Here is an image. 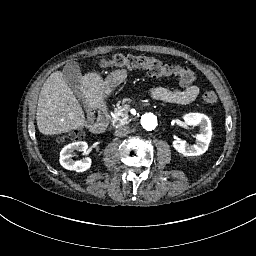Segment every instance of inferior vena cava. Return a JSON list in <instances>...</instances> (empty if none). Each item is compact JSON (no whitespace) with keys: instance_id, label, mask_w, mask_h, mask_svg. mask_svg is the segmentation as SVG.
I'll return each instance as SVG.
<instances>
[{"instance_id":"1","label":"inferior vena cava","mask_w":256,"mask_h":256,"mask_svg":"<svg viewBox=\"0 0 256 256\" xmlns=\"http://www.w3.org/2000/svg\"><path fill=\"white\" fill-rule=\"evenodd\" d=\"M130 133V127L127 125L118 126L115 130V135L118 137H124Z\"/></svg>"}]
</instances>
